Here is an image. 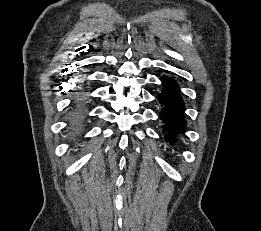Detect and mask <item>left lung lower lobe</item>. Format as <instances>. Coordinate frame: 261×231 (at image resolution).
Instances as JSON below:
<instances>
[{
	"label": "left lung lower lobe",
	"mask_w": 261,
	"mask_h": 231,
	"mask_svg": "<svg viewBox=\"0 0 261 231\" xmlns=\"http://www.w3.org/2000/svg\"><path fill=\"white\" fill-rule=\"evenodd\" d=\"M163 91L157 95L161 104L160 119L163 121L162 132L166 142L176 144L186 127L185 103L181 97L177 82L172 77L162 80Z\"/></svg>",
	"instance_id": "left-lung-lower-lobe-1"
}]
</instances>
